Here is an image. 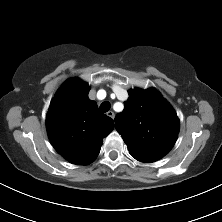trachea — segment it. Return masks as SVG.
Segmentation results:
<instances>
[{"label": "trachea", "mask_w": 222, "mask_h": 222, "mask_svg": "<svg viewBox=\"0 0 222 222\" xmlns=\"http://www.w3.org/2000/svg\"><path fill=\"white\" fill-rule=\"evenodd\" d=\"M111 108V105L109 102L105 101L100 105V111L105 113L107 111H109V109Z\"/></svg>", "instance_id": "3493384b"}]
</instances>
